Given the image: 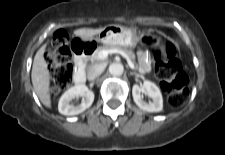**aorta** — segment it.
<instances>
[{"mask_svg":"<svg viewBox=\"0 0 225 155\" xmlns=\"http://www.w3.org/2000/svg\"><path fill=\"white\" fill-rule=\"evenodd\" d=\"M124 67L121 63H112L109 65V72L113 76H121L123 74Z\"/></svg>","mask_w":225,"mask_h":155,"instance_id":"1","label":"aorta"}]
</instances>
